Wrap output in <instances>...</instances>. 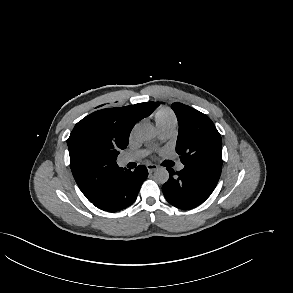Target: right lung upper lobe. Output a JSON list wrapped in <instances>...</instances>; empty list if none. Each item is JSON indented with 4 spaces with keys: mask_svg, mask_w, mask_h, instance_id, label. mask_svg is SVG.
Returning <instances> with one entry per match:
<instances>
[{
    "mask_svg": "<svg viewBox=\"0 0 293 293\" xmlns=\"http://www.w3.org/2000/svg\"><path fill=\"white\" fill-rule=\"evenodd\" d=\"M159 102L98 110L79 121L67 144L70 166L82 193L90 201L100 197L109 181L126 170L116 159L128 145L133 126L149 116Z\"/></svg>",
    "mask_w": 293,
    "mask_h": 293,
    "instance_id": "right-lung-upper-lobe-1",
    "label": "right lung upper lobe"
}]
</instances>
